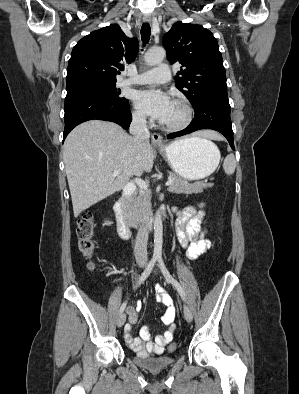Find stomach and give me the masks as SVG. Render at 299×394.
I'll return each instance as SVG.
<instances>
[{"mask_svg": "<svg viewBox=\"0 0 299 394\" xmlns=\"http://www.w3.org/2000/svg\"><path fill=\"white\" fill-rule=\"evenodd\" d=\"M159 152L178 176L192 181L211 175L220 161L218 147L200 137L176 140Z\"/></svg>", "mask_w": 299, "mask_h": 394, "instance_id": "obj_1", "label": "stomach"}]
</instances>
